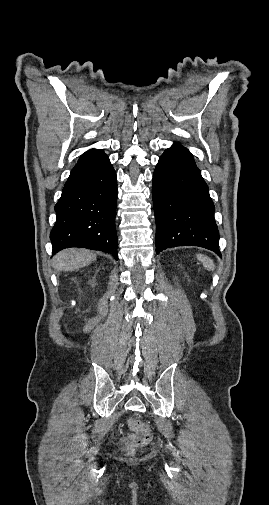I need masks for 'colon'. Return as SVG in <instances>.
Returning <instances> with one entry per match:
<instances>
[{"mask_svg": "<svg viewBox=\"0 0 269 505\" xmlns=\"http://www.w3.org/2000/svg\"><path fill=\"white\" fill-rule=\"evenodd\" d=\"M131 426L135 433L125 439V445L129 452L132 451L135 446H144L150 441V433L144 424L138 420H132Z\"/></svg>", "mask_w": 269, "mask_h": 505, "instance_id": "obj_1", "label": "colon"}]
</instances>
